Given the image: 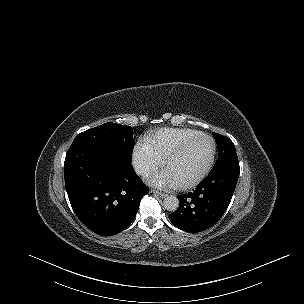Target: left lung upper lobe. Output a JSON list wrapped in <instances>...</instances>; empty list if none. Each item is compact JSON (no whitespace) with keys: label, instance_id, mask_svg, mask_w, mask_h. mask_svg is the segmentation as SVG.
<instances>
[{"label":"left lung upper lobe","instance_id":"obj_1","mask_svg":"<svg viewBox=\"0 0 304 304\" xmlns=\"http://www.w3.org/2000/svg\"><path fill=\"white\" fill-rule=\"evenodd\" d=\"M212 134L217 142L218 159L210 172L217 171L230 164L239 163L233 142L221 134L214 132Z\"/></svg>","mask_w":304,"mask_h":304}]
</instances>
